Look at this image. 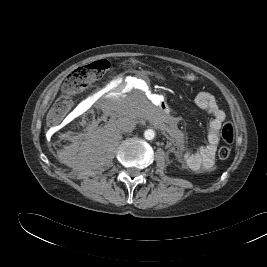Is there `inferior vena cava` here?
Returning a JSON list of instances; mask_svg holds the SVG:
<instances>
[{"label": "inferior vena cava", "mask_w": 267, "mask_h": 267, "mask_svg": "<svg viewBox=\"0 0 267 267\" xmlns=\"http://www.w3.org/2000/svg\"><path fill=\"white\" fill-rule=\"evenodd\" d=\"M136 119L131 116H123L116 120V126L121 132H131L136 127Z\"/></svg>", "instance_id": "602c4592"}]
</instances>
